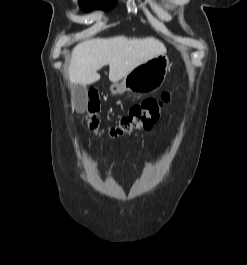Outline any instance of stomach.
I'll use <instances>...</instances> for the list:
<instances>
[{
  "label": "stomach",
  "instance_id": "0dacf381",
  "mask_svg": "<svg viewBox=\"0 0 247 265\" xmlns=\"http://www.w3.org/2000/svg\"><path fill=\"white\" fill-rule=\"evenodd\" d=\"M169 69V58L165 54L158 55L133 69L119 83H113L110 91L113 95L124 92L151 93L159 89Z\"/></svg>",
  "mask_w": 247,
  "mask_h": 265
}]
</instances>
